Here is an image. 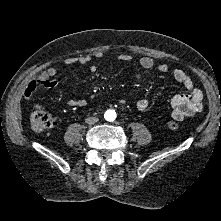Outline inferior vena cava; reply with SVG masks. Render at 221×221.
<instances>
[{
  "label": "inferior vena cava",
  "mask_w": 221,
  "mask_h": 221,
  "mask_svg": "<svg viewBox=\"0 0 221 221\" xmlns=\"http://www.w3.org/2000/svg\"><path fill=\"white\" fill-rule=\"evenodd\" d=\"M98 118L97 117H89V118H86L85 119V122L87 123V124H90V125H92V124H95L96 122H98Z\"/></svg>",
  "instance_id": "obj_1"
}]
</instances>
